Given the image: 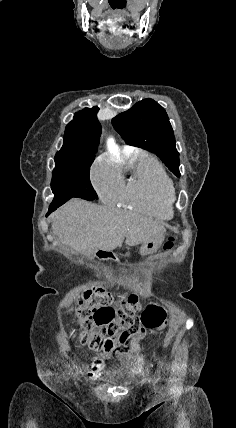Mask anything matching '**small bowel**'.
Segmentation results:
<instances>
[{"mask_svg":"<svg viewBox=\"0 0 236 428\" xmlns=\"http://www.w3.org/2000/svg\"><path fill=\"white\" fill-rule=\"evenodd\" d=\"M146 331H141L136 335L130 337L126 342H124L113 355L111 356H102L95 355L92 358L91 364L89 366V375L92 377H97L103 371L105 367V359L113 358L122 363H131L134 360H141V348L140 342L146 336Z\"/></svg>","mask_w":236,"mask_h":428,"instance_id":"c3829d8e","label":"small bowel"}]
</instances>
